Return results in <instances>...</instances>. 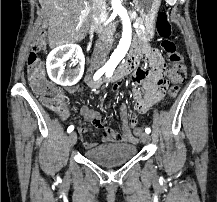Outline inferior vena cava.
I'll return each instance as SVG.
<instances>
[{"label":"inferior vena cava","mask_w":217,"mask_h":202,"mask_svg":"<svg viewBox=\"0 0 217 202\" xmlns=\"http://www.w3.org/2000/svg\"><path fill=\"white\" fill-rule=\"evenodd\" d=\"M91 20L98 30L93 56L95 58H107L113 44V34L108 28H102L101 24L106 20V0H91Z\"/></svg>","instance_id":"1"}]
</instances>
